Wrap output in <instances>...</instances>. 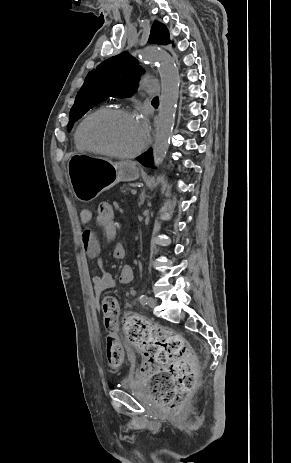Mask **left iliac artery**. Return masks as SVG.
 I'll return each instance as SVG.
<instances>
[{"mask_svg":"<svg viewBox=\"0 0 291 463\" xmlns=\"http://www.w3.org/2000/svg\"><path fill=\"white\" fill-rule=\"evenodd\" d=\"M140 303L143 305H146L148 303V297L147 295L143 294L139 297Z\"/></svg>","mask_w":291,"mask_h":463,"instance_id":"44dca946","label":"left iliac artery"}]
</instances>
